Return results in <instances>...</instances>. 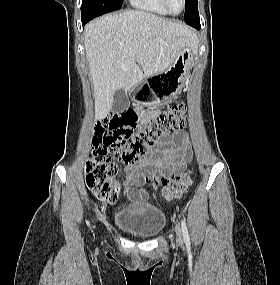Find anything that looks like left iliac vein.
Returning a JSON list of instances; mask_svg holds the SVG:
<instances>
[{"label":"left iliac vein","instance_id":"left-iliac-vein-1","mask_svg":"<svg viewBox=\"0 0 280 285\" xmlns=\"http://www.w3.org/2000/svg\"><path fill=\"white\" fill-rule=\"evenodd\" d=\"M175 232H176V235H177V241L178 243H182L183 239H182V232H181V228L179 227V225H176L175 226Z\"/></svg>","mask_w":280,"mask_h":285}]
</instances>
